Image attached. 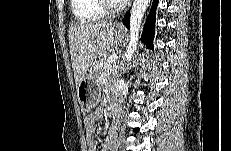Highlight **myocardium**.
<instances>
[{"label":"myocardium","instance_id":"1","mask_svg":"<svg viewBox=\"0 0 231 151\" xmlns=\"http://www.w3.org/2000/svg\"><path fill=\"white\" fill-rule=\"evenodd\" d=\"M100 7L107 16H114L122 10V5L113 0H101Z\"/></svg>","mask_w":231,"mask_h":151}]
</instances>
